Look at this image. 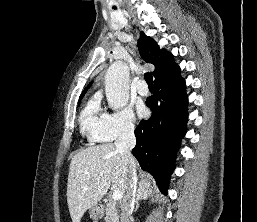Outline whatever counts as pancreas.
Listing matches in <instances>:
<instances>
[{
  "label": "pancreas",
  "instance_id": "obj_1",
  "mask_svg": "<svg viewBox=\"0 0 257 222\" xmlns=\"http://www.w3.org/2000/svg\"><path fill=\"white\" fill-rule=\"evenodd\" d=\"M105 222H119L118 209L113 201H110L106 205Z\"/></svg>",
  "mask_w": 257,
  "mask_h": 222
}]
</instances>
